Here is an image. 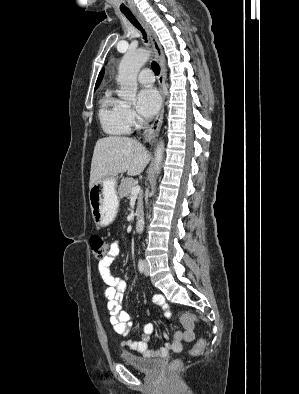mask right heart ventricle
I'll use <instances>...</instances> for the list:
<instances>
[{"label": "right heart ventricle", "mask_w": 299, "mask_h": 394, "mask_svg": "<svg viewBox=\"0 0 299 394\" xmlns=\"http://www.w3.org/2000/svg\"><path fill=\"white\" fill-rule=\"evenodd\" d=\"M125 104L114 96L111 90L105 92L100 100L99 120L105 133L112 136L129 133L130 127L125 119Z\"/></svg>", "instance_id": "obj_1"}]
</instances>
